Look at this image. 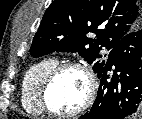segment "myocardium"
Instances as JSON below:
<instances>
[{"label": "myocardium", "instance_id": "myocardium-1", "mask_svg": "<svg viewBox=\"0 0 142 119\" xmlns=\"http://www.w3.org/2000/svg\"><path fill=\"white\" fill-rule=\"evenodd\" d=\"M68 69H76L83 74L86 80V93H85L82 104L78 108L69 112H60L53 109L50 106L49 100H48V94L56 77L64 70H68ZM96 91H97V82L91 69L86 64L76 62V61H67V62L58 63L45 76L39 91V102L43 110L49 115L57 116V117H74L83 113L92 105L95 99Z\"/></svg>", "mask_w": 142, "mask_h": 119}]
</instances>
